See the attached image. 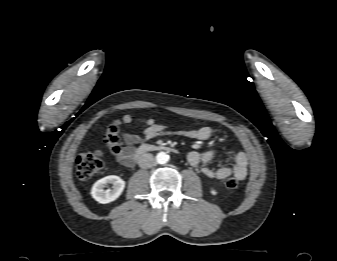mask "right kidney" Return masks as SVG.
<instances>
[{
	"mask_svg": "<svg viewBox=\"0 0 337 261\" xmlns=\"http://www.w3.org/2000/svg\"><path fill=\"white\" fill-rule=\"evenodd\" d=\"M112 184V189L104 190V187ZM125 188V181L115 175L106 176L94 183L91 189L92 197L99 203L106 204L116 200Z\"/></svg>",
	"mask_w": 337,
	"mask_h": 261,
	"instance_id": "obj_1",
	"label": "right kidney"
}]
</instances>
